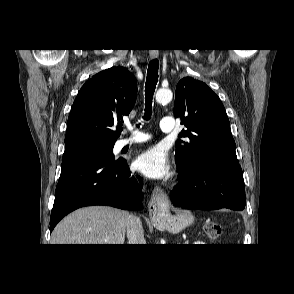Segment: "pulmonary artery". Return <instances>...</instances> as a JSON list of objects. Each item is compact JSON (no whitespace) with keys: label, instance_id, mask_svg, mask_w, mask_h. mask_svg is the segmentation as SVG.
Here are the masks:
<instances>
[{"label":"pulmonary artery","instance_id":"pulmonary-artery-1","mask_svg":"<svg viewBox=\"0 0 294 294\" xmlns=\"http://www.w3.org/2000/svg\"><path fill=\"white\" fill-rule=\"evenodd\" d=\"M127 128L130 131H133L134 135L132 137L123 138L120 140L121 146H128L133 144H138L145 142L149 139V136L147 134H144L143 132L139 130H135L132 125L128 124ZM160 128L164 132H171L174 130V120L172 117H163L160 121ZM164 216V215H163Z\"/></svg>","mask_w":294,"mask_h":294}]
</instances>
